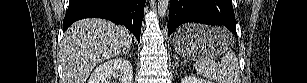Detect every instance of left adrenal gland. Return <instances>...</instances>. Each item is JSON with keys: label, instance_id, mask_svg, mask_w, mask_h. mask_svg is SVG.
Here are the masks:
<instances>
[{"label": "left adrenal gland", "instance_id": "left-adrenal-gland-1", "mask_svg": "<svg viewBox=\"0 0 307 83\" xmlns=\"http://www.w3.org/2000/svg\"><path fill=\"white\" fill-rule=\"evenodd\" d=\"M175 60H176L175 65H176V67H178L179 63H180V60H179V58L177 56H175ZM181 64L185 65L184 62H181Z\"/></svg>", "mask_w": 307, "mask_h": 83}]
</instances>
